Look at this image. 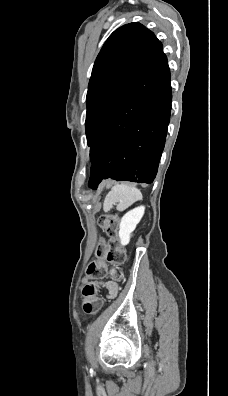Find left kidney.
I'll return each mask as SVG.
<instances>
[{
    "mask_svg": "<svg viewBox=\"0 0 228 396\" xmlns=\"http://www.w3.org/2000/svg\"><path fill=\"white\" fill-rule=\"evenodd\" d=\"M144 212L145 207L139 206L130 210L122 217L119 229V238L122 245L125 246L129 243L131 234L142 219Z\"/></svg>",
    "mask_w": 228,
    "mask_h": 396,
    "instance_id": "5707ae66",
    "label": "left kidney"
}]
</instances>
